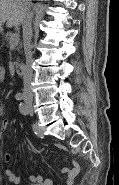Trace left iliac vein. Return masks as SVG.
Wrapping results in <instances>:
<instances>
[{
	"label": "left iliac vein",
	"mask_w": 119,
	"mask_h": 185,
	"mask_svg": "<svg viewBox=\"0 0 119 185\" xmlns=\"http://www.w3.org/2000/svg\"><path fill=\"white\" fill-rule=\"evenodd\" d=\"M33 113H34V110H33L32 103L31 102H28L27 103V114L33 115Z\"/></svg>",
	"instance_id": "4c4485c4"
}]
</instances>
